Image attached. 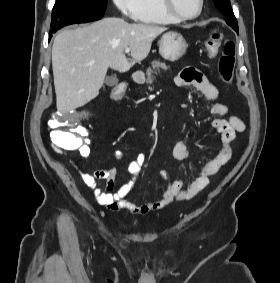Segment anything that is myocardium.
I'll return each instance as SVG.
<instances>
[{
	"instance_id": "1",
	"label": "myocardium",
	"mask_w": 280,
	"mask_h": 283,
	"mask_svg": "<svg viewBox=\"0 0 280 283\" xmlns=\"http://www.w3.org/2000/svg\"><path fill=\"white\" fill-rule=\"evenodd\" d=\"M163 9L173 18L179 20V21H188L193 20L199 17L204 9V0H199V8L197 12L193 15H183L180 12H178L174 5L172 0H161Z\"/></svg>"
}]
</instances>
